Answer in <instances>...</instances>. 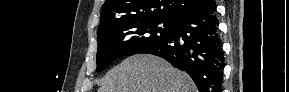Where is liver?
Listing matches in <instances>:
<instances>
[{"mask_svg":"<svg viewBox=\"0 0 289 92\" xmlns=\"http://www.w3.org/2000/svg\"><path fill=\"white\" fill-rule=\"evenodd\" d=\"M188 74L148 54L127 57L108 71L98 92H196Z\"/></svg>","mask_w":289,"mask_h":92,"instance_id":"1","label":"liver"}]
</instances>
